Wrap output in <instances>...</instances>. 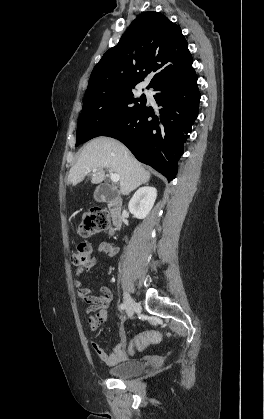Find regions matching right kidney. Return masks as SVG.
<instances>
[{"instance_id":"ca27d5eb","label":"right kidney","mask_w":264,"mask_h":419,"mask_svg":"<svg viewBox=\"0 0 264 419\" xmlns=\"http://www.w3.org/2000/svg\"><path fill=\"white\" fill-rule=\"evenodd\" d=\"M157 197V190L154 187H142L138 189L131 198L129 211L138 219H144L151 211Z\"/></svg>"}]
</instances>
